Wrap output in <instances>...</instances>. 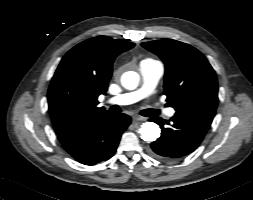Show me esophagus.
<instances>
[{
  "instance_id": "1",
  "label": "esophagus",
  "mask_w": 253,
  "mask_h": 200,
  "mask_svg": "<svg viewBox=\"0 0 253 200\" xmlns=\"http://www.w3.org/2000/svg\"><path fill=\"white\" fill-rule=\"evenodd\" d=\"M145 119L143 117H134L133 118V123L136 124V123H139L141 121H144Z\"/></svg>"
}]
</instances>
